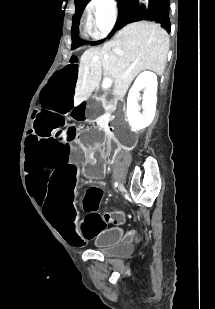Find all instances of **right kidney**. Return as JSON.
I'll list each match as a JSON object with an SVG mask.
<instances>
[{
  "label": "right kidney",
  "instance_id": "ca27d5eb",
  "mask_svg": "<svg viewBox=\"0 0 215 309\" xmlns=\"http://www.w3.org/2000/svg\"><path fill=\"white\" fill-rule=\"evenodd\" d=\"M157 84L158 82L155 72L145 70V72H141V74L137 76L132 88L129 90L127 106L128 102H130L131 108L135 112L134 120H131L128 110H126V114L128 116L129 124H131L132 128H135V130L145 128V126H148L154 118L157 102ZM141 88H145L142 100L143 112H139L140 108L137 102V96Z\"/></svg>",
  "mask_w": 215,
  "mask_h": 309
}]
</instances>
